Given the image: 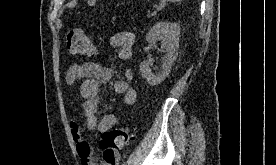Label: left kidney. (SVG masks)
Instances as JSON below:
<instances>
[{
    "label": "left kidney",
    "mask_w": 276,
    "mask_h": 165,
    "mask_svg": "<svg viewBox=\"0 0 276 165\" xmlns=\"http://www.w3.org/2000/svg\"><path fill=\"white\" fill-rule=\"evenodd\" d=\"M180 30V25L177 23L157 22L146 34V40L150 44H154L158 39H161V48L166 52L163 64L157 73L152 72L151 61L146 60L140 64L141 75L148 84L152 86L160 84L169 75L177 57Z\"/></svg>",
    "instance_id": "obj_1"
}]
</instances>
